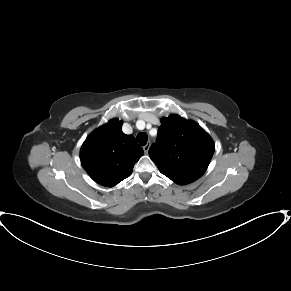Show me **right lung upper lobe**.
Here are the masks:
<instances>
[{
	"mask_svg": "<svg viewBox=\"0 0 291 291\" xmlns=\"http://www.w3.org/2000/svg\"><path fill=\"white\" fill-rule=\"evenodd\" d=\"M122 121L110 120L94 130L83 143V168L97 183L113 187L129 177L134 164L144 154L134 136L122 132Z\"/></svg>",
	"mask_w": 291,
	"mask_h": 291,
	"instance_id": "1",
	"label": "right lung upper lobe"
}]
</instances>
